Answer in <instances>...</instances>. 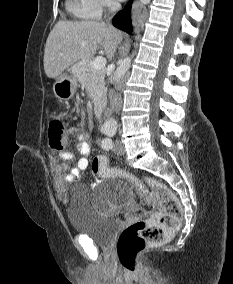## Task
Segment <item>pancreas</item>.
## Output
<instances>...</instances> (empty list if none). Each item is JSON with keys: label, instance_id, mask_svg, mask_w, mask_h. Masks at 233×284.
Instances as JSON below:
<instances>
[{"label": "pancreas", "instance_id": "pancreas-1", "mask_svg": "<svg viewBox=\"0 0 233 284\" xmlns=\"http://www.w3.org/2000/svg\"><path fill=\"white\" fill-rule=\"evenodd\" d=\"M73 73L79 82L88 89L89 97L95 106L106 103L105 71L91 66L90 59H83L73 66Z\"/></svg>", "mask_w": 233, "mask_h": 284}]
</instances>
